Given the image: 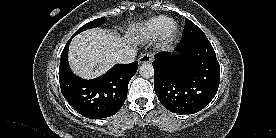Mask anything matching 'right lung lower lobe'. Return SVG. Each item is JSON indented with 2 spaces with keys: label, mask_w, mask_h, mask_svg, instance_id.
<instances>
[{
  "label": "right lung lower lobe",
  "mask_w": 276,
  "mask_h": 138,
  "mask_svg": "<svg viewBox=\"0 0 276 138\" xmlns=\"http://www.w3.org/2000/svg\"><path fill=\"white\" fill-rule=\"evenodd\" d=\"M67 42L61 55L59 82L68 103L82 116L101 119L116 114L127 97L128 83L138 69V62L116 64L102 76L84 80L75 76L68 64Z\"/></svg>",
  "instance_id": "98d812e1"
}]
</instances>
